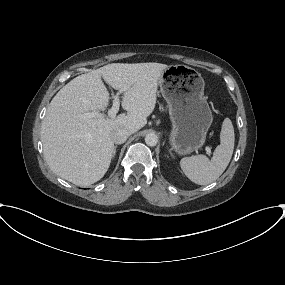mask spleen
Instances as JSON below:
<instances>
[{
  "mask_svg": "<svg viewBox=\"0 0 285 285\" xmlns=\"http://www.w3.org/2000/svg\"><path fill=\"white\" fill-rule=\"evenodd\" d=\"M234 128L231 120L225 118L220 132V145L209 160L204 155L181 159L180 166L185 175L198 185H207L215 181L227 168L234 150Z\"/></svg>",
  "mask_w": 285,
  "mask_h": 285,
  "instance_id": "spleen-1",
  "label": "spleen"
}]
</instances>
